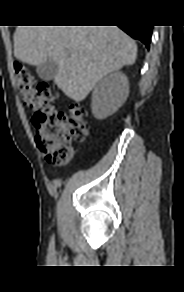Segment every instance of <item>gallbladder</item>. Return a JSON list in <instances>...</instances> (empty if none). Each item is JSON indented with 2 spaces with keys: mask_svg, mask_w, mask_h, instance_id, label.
Listing matches in <instances>:
<instances>
[{
  "mask_svg": "<svg viewBox=\"0 0 184 292\" xmlns=\"http://www.w3.org/2000/svg\"><path fill=\"white\" fill-rule=\"evenodd\" d=\"M59 67L56 62L49 60L36 67L38 76L43 80H51L58 73Z\"/></svg>",
  "mask_w": 184,
  "mask_h": 292,
  "instance_id": "gallbladder-1",
  "label": "gallbladder"
}]
</instances>
